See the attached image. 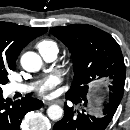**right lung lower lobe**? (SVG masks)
Here are the masks:
<instances>
[{"label":"right lung lower lobe","mask_w":130,"mask_h":130,"mask_svg":"<svg viewBox=\"0 0 130 130\" xmlns=\"http://www.w3.org/2000/svg\"><path fill=\"white\" fill-rule=\"evenodd\" d=\"M42 101L26 96L13 102L10 98L4 99L0 92V130H20L24 115L32 110L41 108Z\"/></svg>","instance_id":"98d812e1"}]
</instances>
